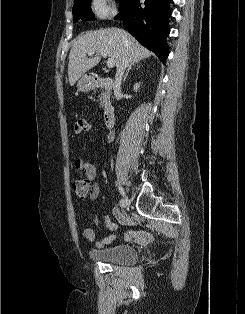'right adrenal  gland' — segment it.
Returning a JSON list of instances; mask_svg holds the SVG:
<instances>
[{
	"instance_id": "obj_1",
	"label": "right adrenal gland",
	"mask_w": 245,
	"mask_h": 314,
	"mask_svg": "<svg viewBox=\"0 0 245 314\" xmlns=\"http://www.w3.org/2000/svg\"><path fill=\"white\" fill-rule=\"evenodd\" d=\"M132 66H134V64H131L128 66L126 74L124 75V78H123V82H125L126 78L128 77V74H129L130 70L132 69Z\"/></svg>"
}]
</instances>
